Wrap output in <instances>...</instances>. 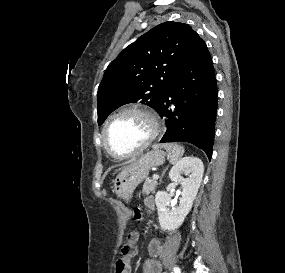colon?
I'll list each match as a JSON object with an SVG mask.
<instances>
[{
    "label": "colon",
    "instance_id": "5ec220e1",
    "mask_svg": "<svg viewBox=\"0 0 285 273\" xmlns=\"http://www.w3.org/2000/svg\"><path fill=\"white\" fill-rule=\"evenodd\" d=\"M142 214L141 207L133 208V219L136 222L140 221V217ZM137 241L138 234L133 233L130 235L128 242L122 248V256L117 259L115 263V273H130L131 270V261L137 254Z\"/></svg>",
    "mask_w": 285,
    "mask_h": 273
}]
</instances>
